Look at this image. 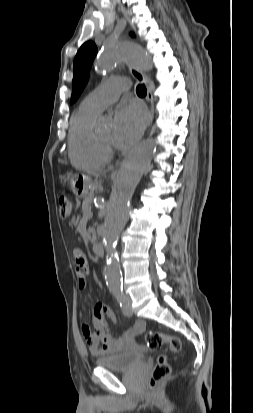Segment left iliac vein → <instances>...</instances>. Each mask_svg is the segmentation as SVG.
<instances>
[{
    "label": "left iliac vein",
    "instance_id": "1",
    "mask_svg": "<svg viewBox=\"0 0 253 413\" xmlns=\"http://www.w3.org/2000/svg\"><path fill=\"white\" fill-rule=\"evenodd\" d=\"M126 298L128 300V305L125 308H123V313L126 316H132L133 311H132V308H131V300H130L129 297H126Z\"/></svg>",
    "mask_w": 253,
    "mask_h": 413
}]
</instances>
